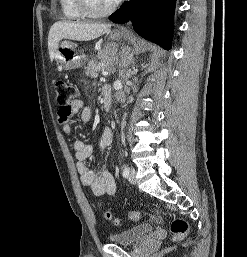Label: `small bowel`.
Segmentation results:
<instances>
[{
    "label": "small bowel",
    "mask_w": 247,
    "mask_h": 257,
    "mask_svg": "<svg viewBox=\"0 0 247 257\" xmlns=\"http://www.w3.org/2000/svg\"><path fill=\"white\" fill-rule=\"evenodd\" d=\"M80 111L82 120L85 122L89 121L91 112L89 108L84 106L82 100L73 101L66 111H58V119L65 133H71L72 117ZM112 140L113 131L109 127H106L100 135L97 146L100 149H104L111 144ZM73 147L77 160L76 168L82 184L89 187L95 196L113 195L117 188L113 175L102 168L94 171L87 162L93 154L94 147L81 140H76Z\"/></svg>",
    "instance_id": "1"
}]
</instances>
